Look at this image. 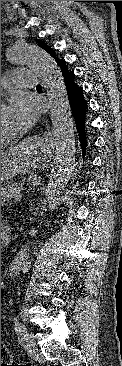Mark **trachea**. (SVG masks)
Here are the masks:
<instances>
[{"label":"trachea","instance_id":"trachea-1","mask_svg":"<svg viewBox=\"0 0 122 366\" xmlns=\"http://www.w3.org/2000/svg\"><path fill=\"white\" fill-rule=\"evenodd\" d=\"M37 88H42L41 85H38Z\"/></svg>","mask_w":122,"mask_h":366}]
</instances>
